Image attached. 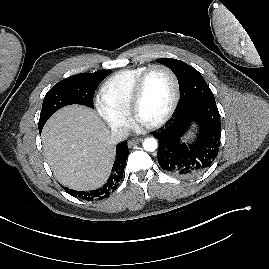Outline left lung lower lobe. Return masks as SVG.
<instances>
[{
  "label": "left lung lower lobe",
  "instance_id": "0a47b994",
  "mask_svg": "<svg viewBox=\"0 0 269 269\" xmlns=\"http://www.w3.org/2000/svg\"><path fill=\"white\" fill-rule=\"evenodd\" d=\"M195 122L197 137L185 143L182 137ZM159 140L158 162L163 170L179 178H193L214 162L221 138L220 114L215 102H196L179 109L173 123L155 133Z\"/></svg>",
  "mask_w": 269,
  "mask_h": 269
}]
</instances>
